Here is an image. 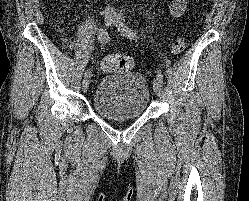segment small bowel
Masks as SVG:
<instances>
[{"label":"small bowel","instance_id":"small-bowel-1","mask_svg":"<svg viewBox=\"0 0 249 201\" xmlns=\"http://www.w3.org/2000/svg\"><path fill=\"white\" fill-rule=\"evenodd\" d=\"M186 0H171L170 11L174 17H180L186 9ZM63 43L69 46L71 41L68 36L63 37ZM104 69V68H103Z\"/></svg>","mask_w":249,"mask_h":201}]
</instances>
